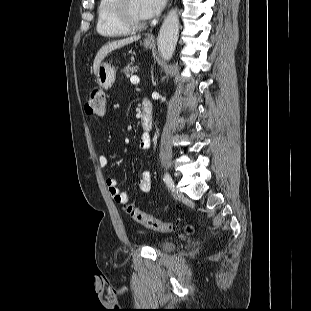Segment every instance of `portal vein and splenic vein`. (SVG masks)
Listing matches in <instances>:
<instances>
[{
    "mask_svg": "<svg viewBox=\"0 0 311 311\" xmlns=\"http://www.w3.org/2000/svg\"><path fill=\"white\" fill-rule=\"evenodd\" d=\"M130 82H131L132 84H138V83L140 82V79H139V77H137V76H132V77L130 78Z\"/></svg>",
    "mask_w": 311,
    "mask_h": 311,
    "instance_id": "1",
    "label": "portal vein and splenic vein"
}]
</instances>
